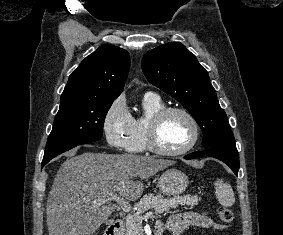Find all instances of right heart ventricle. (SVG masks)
I'll use <instances>...</instances> for the list:
<instances>
[{"mask_svg": "<svg viewBox=\"0 0 283 235\" xmlns=\"http://www.w3.org/2000/svg\"><path fill=\"white\" fill-rule=\"evenodd\" d=\"M142 107L144 114L141 117H132L129 132L126 137L125 149L130 153H142L147 151L146 128L150 118L165 107L162 99L153 93L143 96Z\"/></svg>", "mask_w": 283, "mask_h": 235, "instance_id": "right-heart-ventricle-1", "label": "right heart ventricle"}]
</instances>
